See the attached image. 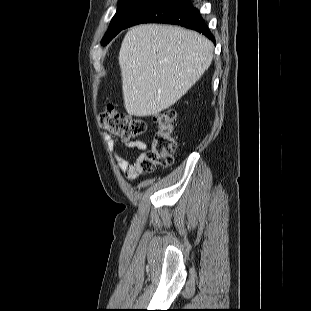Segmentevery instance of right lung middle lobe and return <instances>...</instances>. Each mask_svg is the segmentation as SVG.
I'll return each instance as SVG.
<instances>
[{
    "label": "right lung middle lobe",
    "instance_id": "obj_1",
    "mask_svg": "<svg viewBox=\"0 0 311 311\" xmlns=\"http://www.w3.org/2000/svg\"><path fill=\"white\" fill-rule=\"evenodd\" d=\"M157 0H119L117 12L112 18L110 26L102 40L106 45L120 31L126 28L129 22L144 8L151 5Z\"/></svg>",
    "mask_w": 311,
    "mask_h": 311
}]
</instances>
